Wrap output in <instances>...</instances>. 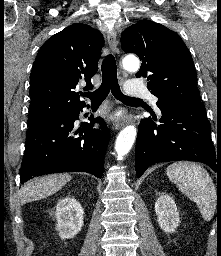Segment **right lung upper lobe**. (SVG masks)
Instances as JSON below:
<instances>
[{
	"instance_id": "obj_1",
	"label": "right lung upper lobe",
	"mask_w": 221,
	"mask_h": 256,
	"mask_svg": "<svg viewBox=\"0 0 221 256\" xmlns=\"http://www.w3.org/2000/svg\"><path fill=\"white\" fill-rule=\"evenodd\" d=\"M104 45L102 34L92 27L76 23L49 38L40 48L30 75L29 117L45 114L53 117L85 106L76 92L78 84L98 70Z\"/></svg>"
}]
</instances>
